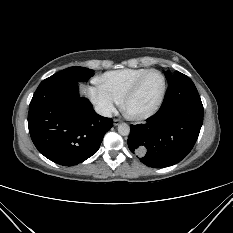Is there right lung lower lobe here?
Wrapping results in <instances>:
<instances>
[{
    "mask_svg": "<svg viewBox=\"0 0 233 233\" xmlns=\"http://www.w3.org/2000/svg\"><path fill=\"white\" fill-rule=\"evenodd\" d=\"M113 120L98 115L78 82L49 77L35 91L29 105L31 139L49 160L65 166L82 163L100 147Z\"/></svg>",
    "mask_w": 233,
    "mask_h": 233,
    "instance_id": "98d812e1",
    "label": "right lung lower lobe"
}]
</instances>
